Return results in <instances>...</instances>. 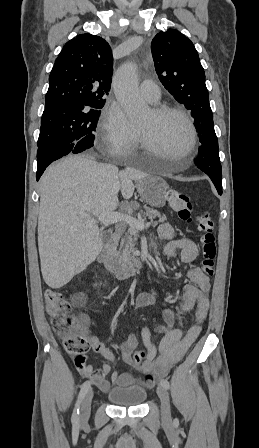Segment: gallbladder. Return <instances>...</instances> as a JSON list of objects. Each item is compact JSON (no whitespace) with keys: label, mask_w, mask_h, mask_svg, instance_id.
<instances>
[{"label":"gallbladder","mask_w":259,"mask_h":448,"mask_svg":"<svg viewBox=\"0 0 259 448\" xmlns=\"http://www.w3.org/2000/svg\"><path fill=\"white\" fill-rule=\"evenodd\" d=\"M111 238H112V232H109V230H107V232H103L102 234L103 244H108V242H111Z\"/></svg>","instance_id":"obj_1"}]
</instances>
